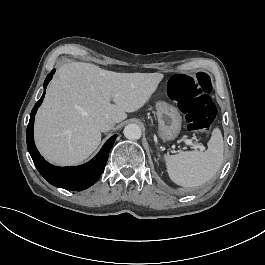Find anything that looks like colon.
I'll use <instances>...</instances> for the list:
<instances>
[{
    "instance_id": "5ec220e1",
    "label": "colon",
    "mask_w": 265,
    "mask_h": 265,
    "mask_svg": "<svg viewBox=\"0 0 265 265\" xmlns=\"http://www.w3.org/2000/svg\"><path fill=\"white\" fill-rule=\"evenodd\" d=\"M173 97L180 100L190 132L207 134L213 127L216 105L211 98L212 84L202 72H181L169 84Z\"/></svg>"
}]
</instances>
